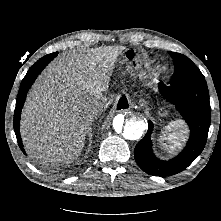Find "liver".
<instances>
[{
  "label": "liver",
  "instance_id": "1",
  "mask_svg": "<svg viewBox=\"0 0 221 221\" xmlns=\"http://www.w3.org/2000/svg\"><path fill=\"white\" fill-rule=\"evenodd\" d=\"M120 47L65 53L36 80L21 115L27 152L45 162H72L83 150L97 103L106 98Z\"/></svg>",
  "mask_w": 221,
  "mask_h": 221
}]
</instances>
